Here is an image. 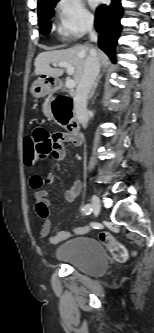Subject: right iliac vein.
<instances>
[{"mask_svg":"<svg viewBox=\"0 0 154 333\" xmlns=\"http://www.w3.org/2000/svg\"><path fill=\"white\" fill-rule=\"evenodd\" d=\"M92 207L95 215H98L101 210V202L97 195L92 196Z\"/></svg>","mask_w":154,"mask_h":333,"instance_id":"obj_1","label":"right iliac vein"}]
</instances>
